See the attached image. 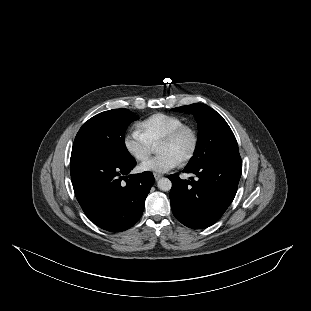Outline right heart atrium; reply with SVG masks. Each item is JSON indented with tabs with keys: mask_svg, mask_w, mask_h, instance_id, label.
Wrapping results in <instances>:
<instances>
[{
	"mask_svg": "<svg viewBox=\"0 0 311 311\" xmlns=\"http://www.w3.org/2000/svg\"><path fill=\"white\" fill-rule=\"evenodd\" d=\"M123 146L127 154L137 162L146 161L153 152L152 145L142 132L136 128H129L123 136Z\"/></svg>",
	"mask_w": 311,
	"mask_h": 311,
	"instance_id": "obj_1",
	"label": "right heart atrium"
}]
</instances>
